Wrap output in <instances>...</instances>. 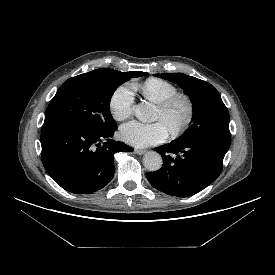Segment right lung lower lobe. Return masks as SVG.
Listing matches in <instances>:
<instances>
[{
	"instance_id": "right-lung-lower-lobe-1",
	"label": "right lung lower lobe",
	"mask_w": 275,
	"mask_h": 275,
	"mask_svg": "<svg viewBox=\"0 0 275 275\" xmlns=\"http://www.w3.org/2000/svg\"><path fill=\"white\" fill-rule=\"evenodd\" d=\"M116 129V125L93 129L69 122L44 123L41 146L46 171L69 192L100 190L114 176V154L133 151L125 143L109 139Z\"/></svg>"
}]
</instances>
